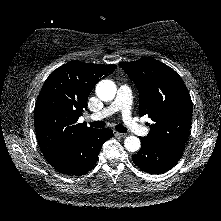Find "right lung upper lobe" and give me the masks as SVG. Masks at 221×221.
Returning <instances> with one entry per match:
<instances>
[{
	"mask_svg": "<svg viewBox=\"0 0 221 221\" xmlns=\"http://www.w3.org/2000/svg\"><path fill=\"white\" fill-rule=\"evenodd\" d=\"M116 67L72 61L49 75L35 104L34 125L42 153L50 164L95 130L85 122L78 123V118L87 108L93 87Z\"/></svg>",
	"mask_w": 221,
	"mask_h": 221,
	"instance_id": "1",
	"label": "right lung upper lobe"
}]
</instances>
